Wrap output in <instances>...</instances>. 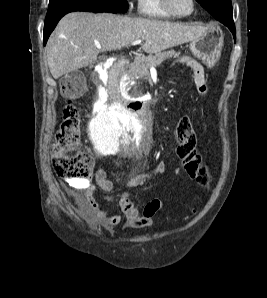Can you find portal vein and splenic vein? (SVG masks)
<instances>
[{
  "label": "portal vein and splenic vein",
  "mask_w": 267,
  "mask_h": 298,
  "mask_svg": "<svg viewBox=\"0 0 267 298\" xmlns=\"http://www.w3.org/2000/svg\"><path fill=\"white\" fill-rule=\"evenodd\" d=\"M142 42V40H135V41H133L132 43H131V45H138V44H140ZM96 47L97 48H100V45L99 44H97L96 45ZM152 69H153V67H151Z\"/></svg>",
  "instance_id": "obj_1"
}]
</instances>
